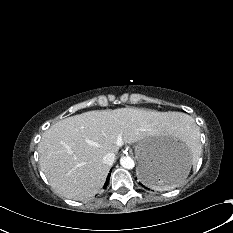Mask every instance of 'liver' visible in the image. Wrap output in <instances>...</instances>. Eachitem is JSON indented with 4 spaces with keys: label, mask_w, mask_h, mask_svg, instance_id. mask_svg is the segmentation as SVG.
<instances>
[{
    "label": "liver",
    "mask_w": 233,
    "mask_h": 233,
    "mask_svg": "<svg viewBox=\"0 0 233 233\" xmlns=\"http://www.w3.org/2000/svg\"><path fill=\"white\" fill-rule=\"evenodd\" d=\"M185 119L178 112L137 108L88 111L58 121L38 145L39 163L51 187L61 196L84 200L103 186L110 166L107 153L149 135H167Z\"/></svg>",
    "instance_id": "obj_1"
}]
</instances>
